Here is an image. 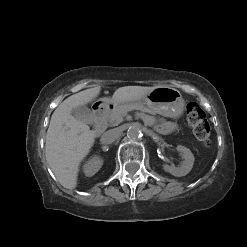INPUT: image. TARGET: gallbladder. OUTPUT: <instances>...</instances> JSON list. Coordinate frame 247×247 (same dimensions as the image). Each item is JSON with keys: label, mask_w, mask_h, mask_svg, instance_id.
Returning a JSON list of instances; mask_svg holds the SVG:
<instances>
[{"label": "gallbladder", "mask_w": 247, "mask_h": 247, "mask_svg": "<svg viewBox=\"0 0 247 247\" xmlns=\"http://www.w3.org/2000/svg\"><path fill=\"white\" fill-rule=\"evenodd\" d=\"M74 118L87 124L93 123V115L91 110L86 106H78L73 108L72 113Z\"/></svg>", "instance_id": "bac80fb5"}]
</instances>
